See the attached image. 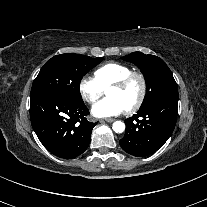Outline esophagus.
Wrapping results in <instances>:
<instances>
[{
	"instance_id": "1",
	"label": "esophagus",
	"mask_w": 207,
	"mask_h": 207,
	"mask_svg": "<svg viewBox=\"0 0 207 207\" xmlns=\"http://www.w3.org/2000/svg\"><path fill=\"white\" fill-rule=\"evenodd\" d=\"M101 121H106L108 123H112L115 121V119L114 118H104V119H101Z\"/></svg>"
}]
</instances>
